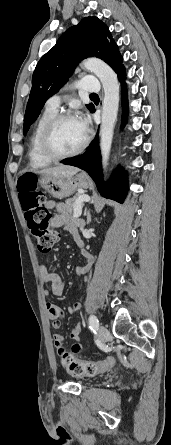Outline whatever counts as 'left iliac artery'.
Segmentation results:
<instances>
[{
    "instance_id": "obj_1",
    "label": "left iliac artery",
    "mask_w": 171,
    "mask_h": 445,
    "mask_svg": "<svg viewBox=\"0 0 171 445\" xmlns=\"http://www.w3.org/2000/svg\"><path fill=\"white\" fill-rule=\"evenodd\" d=\"M99 326L98 318L95 315H90L89 317V327L93 332H96Z\"/></svg>"
}]
</instances>
